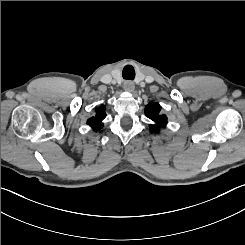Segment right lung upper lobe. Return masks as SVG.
<instances>
[{
    "label": "right lung upper lobe",
    "instance_id": "obj_1",
    "mask_svg": "<svg viewBox=\"0 0 245 245\" xmlns=\"http://www.w3.org/2000/svg\"><path fill=\"white\" fill-rule=\"evenodd\" d=\"M96 113L95 117H92L87 121V124L90 125L95 132L100 131L103 127L102 121L106 117L105 107L101 105L96 109Z\"/></svg>",
    "mask_w": 245,
    "mask_h": 245
}]
</instances>
